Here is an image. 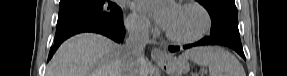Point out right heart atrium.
Returning <instances> with one entry per match:
<instances>
[{
  "label": "right heart atrium",
  "mask_w": 287,
  "mask_h": 76,
  "mask_svg": "<svg viewBox=\"0 0 287 76\" xmlns=\"http://www.w3.org/2000/svg\"><path fill=\"white\" fill-rule=\"evenodd\" d=\"M127 26L133 34L138 36H146L152 31L150 22L136 13H131L128 16Z\"/></svg>",
  "instance_id": "right-heart-atrium-1"
}]
</instances>
